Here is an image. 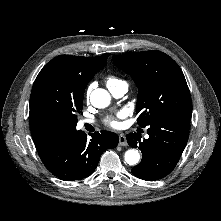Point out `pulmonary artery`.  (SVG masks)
Wrapping results in <instances>:
<instances>
[{
  "mask_svg": "<svg viewBox=\"0 0 221 221\" xmlns=\"http://www.w3.org/2000/svg\"><path fill=\"white\" fill-rule=\"evenodd\" d=\"M127 89H128V86L126 83H122L116 87H112V88H109L110 92L112 93V95L116 98H120L122 97L126 92H127ZM81 124H92V121L91 120H83L81 122Z\"/></svg>",
  "mask_w": 221,
  "mask_h": 221,
  "instance_id": "pulmonary-artery-1",
  "label": "pulmonary artery"
}]
</instances>
